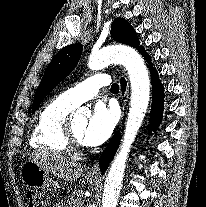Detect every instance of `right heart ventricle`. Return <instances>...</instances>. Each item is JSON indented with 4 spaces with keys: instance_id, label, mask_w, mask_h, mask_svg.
Wrapping results in <instances>:
<instances>
[{
    "instance_id": "right-heart-ventricle-1",
    "label": "right heart ventricle",
    "mask_w": 206,
    "mask_h": 207,
    "mask_svg": "<svg viewBox=\"0 0 206 207\" xmlns=\"http://www.w3.org/2000/svg\"><path fill=\"white\" fill-rule=\"evenodd\" d=\"M61 95L48 102L37 115L30 136V146L36 150L67 153L63 129L68 115L75 109Z\"/></svg>"
}]
</instances>
